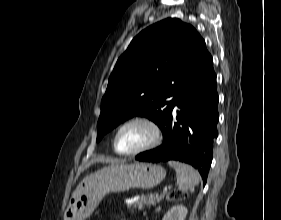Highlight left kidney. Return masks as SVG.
I'll list each match as a JSON object with an SVG mask.
<instances>
[{"label":"left kidney","instance_id":"obj_1","mask_svg":"<svg viewBox=\"0 0 281 220\" xmlns=\"http://www.w3.org/2000/svg\"><path fill=\"white\" fill-rule=\"evenodd\" d=\"M188 209L183 205L173 206L163 217V220H185Z\"/></svg>","mask_w":281,"mask_h":220}]
</instances>
